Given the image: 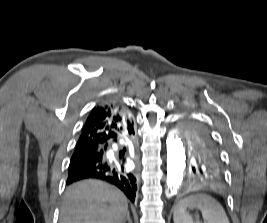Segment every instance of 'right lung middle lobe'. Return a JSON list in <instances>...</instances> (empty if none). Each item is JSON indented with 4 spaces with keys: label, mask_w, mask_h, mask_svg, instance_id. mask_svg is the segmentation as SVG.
Returning <instances> with one entry per match:
<instances>
[{
    "label": "right lung middle lobe",
    "mask_w": 267,
    "mask_h": 223,
    "mask_svg": "<svg viewBox=\"0 0 267 223\" xmlns=\"http://www.w3.org/2000/svg\"><path fill=\"white\" fill-rule=\"evenodd\" d=\"M87 152H90V150H87V149H75V152H74L72 158L79 157V156H81V155H83V154H85Z\"/></svg>",
    "instance_id": "right-lung-middle-lobe-1"
}]
</instances>
